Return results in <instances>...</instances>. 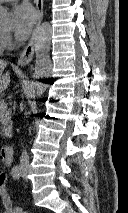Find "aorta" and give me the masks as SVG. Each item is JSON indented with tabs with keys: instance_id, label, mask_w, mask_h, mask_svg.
Here are the masks:
<instances>
[{
	"instance_id": "aorta-1",
	"label": "aorta",
	"mask_w": 128,
	"mask_h": 213,
	"mask_svg": "<svg viewBox=\"0 0 128 213\" xmlns=\"http://www.w3.org/2000/svg\"><path fill=\"white\" fill-rule=\"evenodd\" d=\"M10 15L6 9L0 6V26L8 24ZM52 38V27L49 22H43L35 33L34 49L36 54L34 78L47 79L52 73V62L50 59V44ZM47 88L46 83H38L36 95L41 96Z\"/></svg>"
}]
</instances>
